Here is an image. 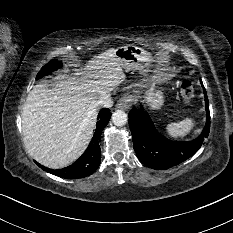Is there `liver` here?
<instances>
[{
	"instance_id": "1",
	"label": "liver",
	"mask_w": 233,
	"mask_h": 233,
	"mask_svg": "<svg viewBox=\"0 0 233 233\" xmlns=\"http://www.w3.org/2000/svg\"><path fill=\"white\" fill-rule=\"evenodd\" d=\"M75 71L82 77L60 74L35 85L22 111L26 151L53 169L66 167L82 155L96 125L97 99L125 79L115 49L94 56Z\"/></svg>"
}]
</instances>
